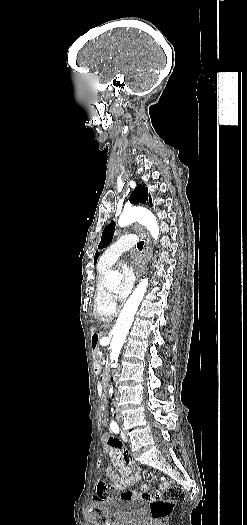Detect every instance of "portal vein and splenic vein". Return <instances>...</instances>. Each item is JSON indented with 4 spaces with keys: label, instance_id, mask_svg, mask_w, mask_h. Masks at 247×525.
<instances>
[{
    "label": "portal vein and splenic vein",
    "instance_id": "1",
    "mask_svg": "<svg viewBox=\"0 0 247 525\" xmlns=\"http://www.w3.org/2000/svg\"><path fill=\"white\" fill-rule=\"evenodd\" d=\"M100 356H104V353H100ZM103 364H106V358H103Z\"/></svg>",
    "mask_w": 247,
    "mask_h": 525
}]
</instances>
